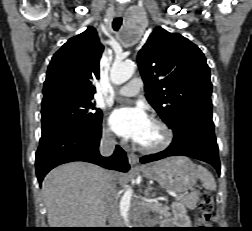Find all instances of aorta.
Segmentation results:
<instances>
[{"label": "aorta", "mask_w": 252, "mask_h": 231, "mask_svg": "<svg viewBox=\"0 0 252 231\" xmlns=\"http://www.w3.org/2000/svg\"><path fill=\"white\" fill-rule=\"evenodd\" d=\"M135 67L136 65L132 61H124V62L115 61L110 71V78L112 83L116 85H121L126 81H128L134 74ZM132 193H133L132 188L128 187L124 192L120 201V213L127 226H130L128 212L130 209Z\"/></svg>", "instance_id": "1"}]
</instances>
